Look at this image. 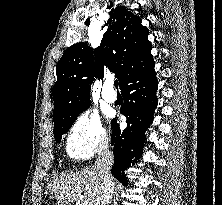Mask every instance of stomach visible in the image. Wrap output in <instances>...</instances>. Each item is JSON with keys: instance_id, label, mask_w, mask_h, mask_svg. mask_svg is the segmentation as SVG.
<instances>
[{"instance_id": "1", "label": "stomach", "mask_w": 222, "mask_h": 205, "mask_svg": "<svg viewBox=\"0 0 222 205\" xmlns=\"http://www.w3.org/2000/svg\"><path fill=\"white\" fill-rule=\"evenodd\" d=\"M57 205H64L62 202H59Z\"/></svg>"}]
</instances>
